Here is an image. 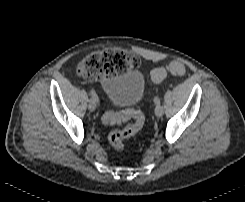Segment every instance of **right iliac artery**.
<instances>
[{"instance_id":"1","label":"right iliac artery","mask_w":245,"mask_h":202,"mask_svg":"<svg viewBox=\"0 0 245 202\" xmlns=\"http://www.w3.org/2000/svg\"><path fill=\"white\" fill-rule=\"evenodd\" d=\"M90 93H91V96H92L93 100L95 101V103H99V99H98V96H97L95 90L91 89Z\"/></svg>"}]
</instances>
